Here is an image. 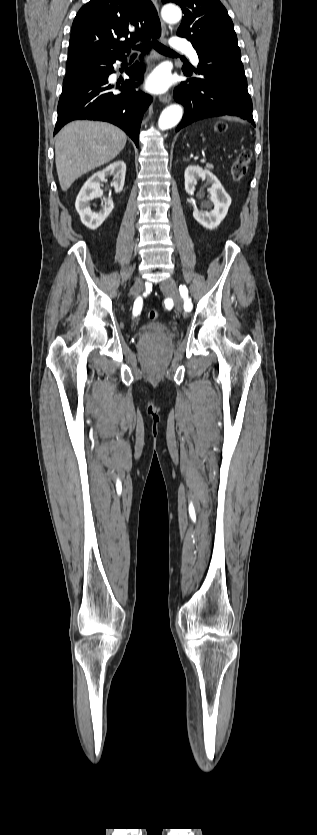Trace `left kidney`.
Returning a JSON list of instances; mask_svg holds the SVG:
<instances>
[{"mask_svg":"<svg viewBox=\"0 0 317 835\" xmlns=\"http://www.w3.org/2000/svg\"><path fill=\"white\" fill-rule=\"evenodd\" d=\"M184 177L185 190L191 195L194 194L195 185L199 179L202 181L206 180L207 184L211 185L209 188L211 195L210 201L213 203L214 208L209 211H200L196 206V201L193 200L191 202L194 209L193 217L198 223L207 229H214L218 227L228 213L229 206L231 205V197L212 172L207 169L203 170L198 165L188 166L185 170ZM205 207L210 209L211 205H206Z\"/></svg>","mask_w":317,"mask_h":835,"instance_id":"5707ae66","label":"left kidney"}]
</instances>
